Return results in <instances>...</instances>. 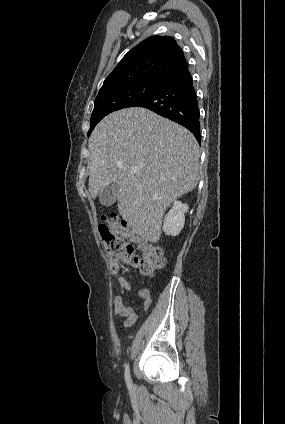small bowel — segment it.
<instances>
[{"label":"small bowel","instance_id":"small-bowel-1","mask_svg":"<svg viewBox=\"0 0 285 424\" xmlns=\"http://www.w3.org/2000/svg\"><path fill=\"white\" fill-rule=\"evenodd\" d=\"M118 292L114 296V313L124 318V327H132L137 321V313L132 306L125 301L126 294L131 291L132 286L125 276H120L117 280ZM141 299V307L147 311L152 303L149 291L146 288H140L136 291Z\"/></svg>","mask_w":285,"mask_h":424}]
</instances>
